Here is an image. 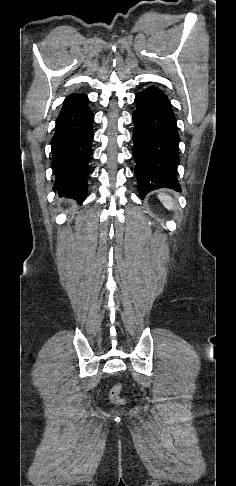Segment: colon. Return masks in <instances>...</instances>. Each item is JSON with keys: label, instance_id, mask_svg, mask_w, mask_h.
<instances>
[{"label": "colon", "instance_id": "1", "mask_svg": "<svg viewBox=\"0 0 236 486\" xmlns=\"http://www.w3.org/2000/svg\"><path fill=\"white\" fill-rule=\"evenodd\" d=\"M121 390L122 386L121 384H116L113 386V388L110 391V400L114 404H125L126 400L125 398L121 395Z\"/></svg>", "mask_w": 236, "mask_h": 486}]
</instances>
